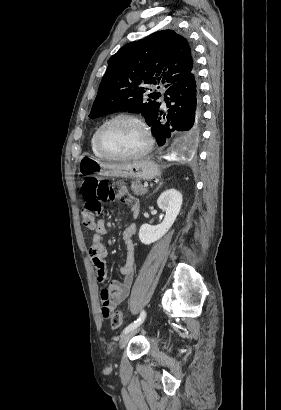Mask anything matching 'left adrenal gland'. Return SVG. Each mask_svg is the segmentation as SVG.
I'll return each mask as SVG.
<instances>
[{
    "instance_id": "1",
    "label": "left adrenal gland",
    "mask_w": 281,
    "mask_h": 410,
    "mask_svg": "<svg viewBox=\"0 0 281 410\" xmlns=\"http://www.w3.org/2000/svg\"><path fill=\"white\" fill-rule=\"evenodd\" d=\"M162 185H163V182H160L159 185H158V187L154 190V192H156L159 188H161ZM154 192H153V193H154Z\"/></svg>"
}]
</instances>
